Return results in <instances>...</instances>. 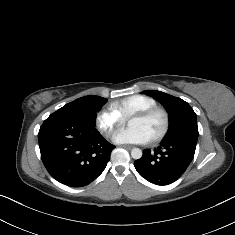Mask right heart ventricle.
I'll return each instance as SVG.
<instances>
[{
  "label": "right heart ventricle",
  "instance_id": "e07e8e85",
  "mask_svg": "<svg viewBox=\"0 0 235 235\" xmlns=\"http://www.w3.org/2000/svg\"><path fill=\"white\" fill-rule=\"evenodd\" d=\"M114 110L125 119L144 110L156 106V101L148 96L135 94L124 97L112 104Z\"/></svg>",
  "mask_w": 235,
  "mask_h": 235
}]
</instances>
